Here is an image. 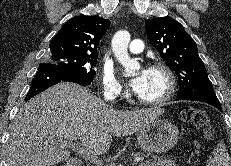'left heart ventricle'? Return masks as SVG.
I'll list each match as a JSON object with an SVG mask.
<instances>
[{
	"label": "left heart ventricle",
	"mask_w": 231,
	"mask_h": 166,
	"mask_svg": "<svg viewBox=\"0 0 231 166\" xmlns=\"http://www.w3.org/2000/svg\"><path fill=\"white\" fill-rule=\"evenodd\" d=\"M166 86V78L162 73L148 70L147 82L139 97L147 100L156 99L164 93Z\"/></svg>",
	"instance_id": "obj_1"
}]
</instances>
